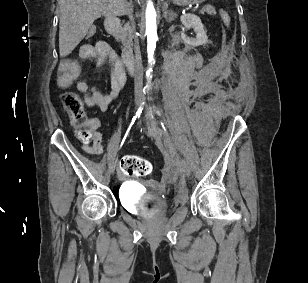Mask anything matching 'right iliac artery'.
Masks as SVG:
<instances>
[{
    "label": "right iliac artery",
    "mask_w": 308,
    "mask_h": 283,
    "mask_svg": "<svg viewBox=\"0 0 308 283\" xmlns=\"http://www.w3.org/2000/svg\"><path fill=\"white\" fill-rule=\"evenodd\" d=\"M141 112H142V109L139 108L138 111L136 112V115L132 118V122H131V124H130V126H129V128H128V130H127V132H126V134H125V136H124V138L122 140V142H121L120 147L123 145V143H124V141H125V139H126V137L128 135V132H129L130 128L132 127V125L134 124V122L136 121L137 117L138 118L140 117Z\"/></svg>",
    "instance_id": "1"
}]
</instances>
